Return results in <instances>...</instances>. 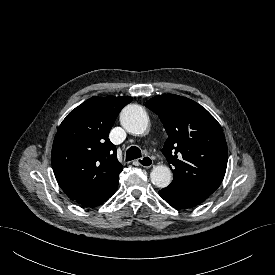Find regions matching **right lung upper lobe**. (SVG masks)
Segmentation results:
<instances>
[{
  "mask_svg": "<svg viewBox=\"0 0 275 275\" xmlns=\"http://www.w3.org/2000/svg\"><path fill=\"white\" fill-rule=\"evenodd\" d=\"M132 97H92L72 110L55 136L51 160L56 180L71 200L107 192L118 184L122 165L108 139Z\"/></svg>",
  "mask_w": 275,
  "mask_h": 275,
  "instance_id": "cb5924a9",
  "label": "right lung upper lobe"
}]
</instances>
